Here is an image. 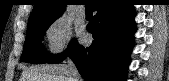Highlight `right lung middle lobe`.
Wrapping results in <instances>:
<instances>
[{
    "mask_svg": "<svg viewBox=\"0 0 169 81\" xmlns=\"http://www.w3.org/2000/svg\"><path fill=\"white\" fill-rule=\"evenodd\" d=\"M55 20H43L28 25L21 62L44 64L54 56L45 50L42 41L46 30Z\"/></svg>",
    "mask_w": 169,
    "mask_h": 81,
    "instance_id": "1",
    "label": "right lung middle lobe"
}]
</instances>
